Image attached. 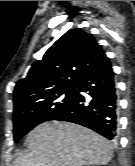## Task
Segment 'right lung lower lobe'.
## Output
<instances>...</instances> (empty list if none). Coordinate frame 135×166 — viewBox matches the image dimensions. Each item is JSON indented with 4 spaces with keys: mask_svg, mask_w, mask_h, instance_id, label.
Here are the masks:
<instances>
[{
    "mask_svg": "<svg viewBox=\"0 0 135 166\" xmlns=\"http://www.w3.org/2000/svg\"><path fill=\"white\" fill-rule=\"evenodd\" d=\"M75 88L72 104L57 113L52 120L77 123L108 139H115L118 103L114 72L109 59L83 76ZM79 92H87L92 100L86 101Z\"/></svg>",
    "mask_w": 135,
    "mask_h": 166,
    "instance_id": "obj_1",
    "label": "right lung lower lobe"
}]
</instances>
